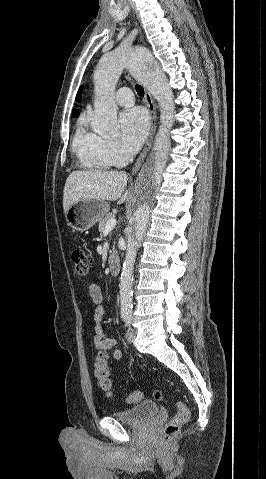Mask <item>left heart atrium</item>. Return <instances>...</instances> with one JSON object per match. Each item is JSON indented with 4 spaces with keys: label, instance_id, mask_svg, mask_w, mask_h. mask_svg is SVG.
Masks as SVG:
<instances>
[{
    "label": "left heart atrium",
    "instance_id": "39dd6f15",
    "mask_svg": "<svg viewBox=\"0 0 266 479\" xmlns=\"http://www.w3.org/2000/svg\"><path fill=\"white\" fill-rule=\"evenodd\" d=\"M121 137L130 152H135L144 142L149 131V119L142 108H131L120 116Z\"/></svg>",
    "mask_w": 266,
    "mask_h": 479
}]
</instances>
